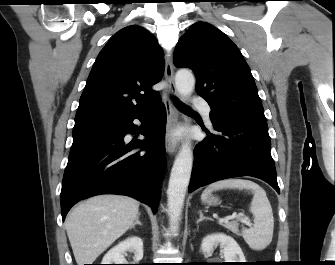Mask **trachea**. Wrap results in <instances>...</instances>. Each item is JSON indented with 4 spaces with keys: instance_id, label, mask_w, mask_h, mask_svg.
<instances>
[{
    "instance_id": "obj_1",
    "label": "trachea",
    "mask_w": 335,
    "mask_h": 265,
    "mask_svg": "<svg viewBox=\"0 0 335 265\" xmlns=\"http://www.w3.org/2000/svg\"><path fill=\"white\" fill-rule=\"evenodd\" d=\"M175 104L178 108L184 109V106L182 105V103H180L177 99H175Z\"/></svg>"
}]
</instances>
